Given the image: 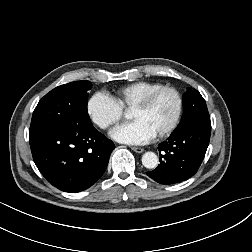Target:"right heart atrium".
Wrapping results in <instances>:
<instances>
[{
    "label": "right heart atrium",
    "mask_w": 252,
    "mask_h": 252,
    "mask_svg": "<svg viewBox=\"0 0 252 252\" xmlns=\"http://www.w3.org/2000/svg\"><path fill=\"white\" fill-rule=\"evenodd\" d=\"M86 110L90 120L103 130L116 125L124 113L123 108L103 92H96L90 96Z\"/></svg>",
    "instance_id": "1"
}]
</instances>
